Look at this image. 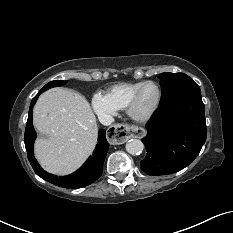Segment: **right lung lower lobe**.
Masks as SVG:
<instances>
[{
	"label": "right lung lower lobe",
	"mask_w": 233,
	"mask_h": 233,
	"mask_svg": "<svg viewBox=\"0 0 233 233\" xmlns=\"http://www.w3.org/2000/svg\"><path fill=\"white\" fill-rule=\"evenodd\" d=\"M42 92L43 91L40 90L39 93L33 98L30 104L29 115L24 135L25 147L31 166L33 167L35 173L38 176L60 187L81 188L93 183L102 174L104 158L109 148V143L107 142L105 137V130L99 131L98 143L93 153V156H90V158L85 162V164L71 175L57 177L55 175L49 174L46 171H44L36 161L33 154V144L36 139V132L33 127L32 116L33 106L36 103L39 94H41Z\"/></svg>",
	"instance_id": "1"
}]
</instances>
